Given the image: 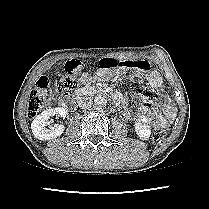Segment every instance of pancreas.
Returning <instances> with one entry per match:
<instances>
[{"label": "pancreas", "mask_w": 209, "mask_h": 209, "mask_svg": "<svg viewBox=\"0 0 209 209\" xmlns=\"http://www.w3.org/2000/svg\"><path fill=\"white\" fill-rule=\"evenodd\" d=\"M86 90L91 93H95L97 91L95 86L88 87V88H86Z\"/></svg>", "instance_id": "pancreas-1"}]
</instances>
